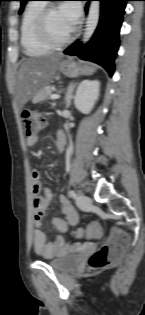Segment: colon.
Listing matches in <instances>:
<instances>
[{
  "label": "colon",
  "instance_id": "colon-1",
  "mask_svg": "<svg viewBox=\"0 0 145 315\" xmlns=\"http://www.w3.org/2000/svg\"><path fill=\"white\" fill-rule=\"evenodd\" d=\"M22 121L27 137L35 135L44 125L43 118L33 110L22 112ZM101 226L92 222L85 230L78 232L81 236L89 238L98 237ZM129 243V236L118 229H114L110 238L89 258L92 269H100L116 263L123 255Z\"/></svg>",
  "mask_w": 145,
  "mask_h": 315
}]
</instances>
